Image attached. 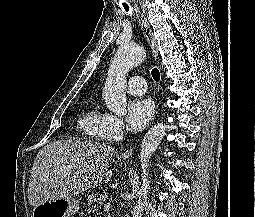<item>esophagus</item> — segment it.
Segmentation results:
<instances>
[{
    "mask_svg": "<svg viewBox=\"0 0 255 217\" xmlns=\"http://www.w3.org/2000/svg\"><path fill=\"white\" fill-rule=\"evenodd\" d=\"M135 9L137 12H139V8L136 4H135ZM141 29L152 50L155 60H157L158 59V44L153 35L152 29L150 28L149 23L147 22V19L144 18L143 15H141ZM133 151H134V148H130L129 150L122 153V157L129 158L133 154Z\"/></svg>",
    "mask_w": 255,
    "mask_h": 217,
    "instance_id": "obj_1",
    "label": "esophagus"
}]
</instances>
